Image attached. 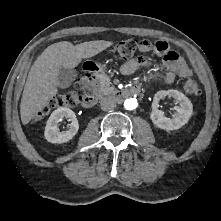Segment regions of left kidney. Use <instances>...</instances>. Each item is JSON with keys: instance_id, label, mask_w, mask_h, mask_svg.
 I'll return each mask as SVG.
<instances>
[{"instance_id": "1", "label": "left kidney", "mask_w": 221, "mask_h": 221, "mask_svg": "<svg viewBox=\"0 0 221 221\" xmlns=\"http://www.w3.org/2000/svg\"><path fill=\"white\" fill-rule=\"evenodd\" d=\"M167 94L175 98L180 106L175 107V113L172 118H167L164 112L157 109V103L162 95ZM193 105L191 101L177 90L160 91L155 94L150 118L154 125L163 130H177L185 125L192 116Z\"/></svg>"}]
</instances>
